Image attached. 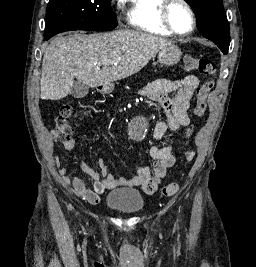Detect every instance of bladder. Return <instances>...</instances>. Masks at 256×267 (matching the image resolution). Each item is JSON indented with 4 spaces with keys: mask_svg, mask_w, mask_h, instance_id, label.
Listing matches in <instances>:
<instances>
[{
    "mask_svg": "<svg viewBox=\"0 0 256 267\" xmlns=\"http://www.w3.org/2000/svg\"><path fill=\"white\" fill-rule=\"evenodd\" d=\"M106 206L122 215H132L142 210L143 199L139 191L114 190L107 195Z\"/></svg>",
    "mask_w": 256,
    "mask_h": 267,
    "instance_id": "1",
    "label": "bladder"
}]
</instances>
